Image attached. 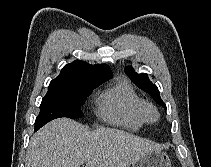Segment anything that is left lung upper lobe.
<instances>
[{"mask_svg":"<svg viewBox=\"0 0 211 167\" xmlns=\"http://www.w3.org/2000/svg\"><path fill=\"white\" fill-rule=\"evenodd\" d=\"M125 72L140 89L150 94L156 103L163 106L166 110V105L160 97V92L157 86L151 83L147 74H137L131 66L126 67Z\"/></svg>","mask_w":211,"mask_h":167,"instance_id":"obj_1","label":"left lung upper lobe"}]
</instances>
